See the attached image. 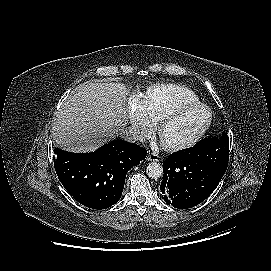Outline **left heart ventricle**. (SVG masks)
<instances>
[{
	"label": "left heart ventricle",
	"mask_w": 271,
	"mask_h": 271,
	"mask_svg": "<svg viewBox=\"0 0 271 271\" xmlns=\"http://www.w3.org/2000/svg\"><path fill=\"white\" fill-rule=\"evenodd\" d=\"M208 113L203 108L188 111L168 122L163 131L165 143H180L193 136L206 122Z\"/></svg>",
	"instance_id": "1"
}]
</instances>
